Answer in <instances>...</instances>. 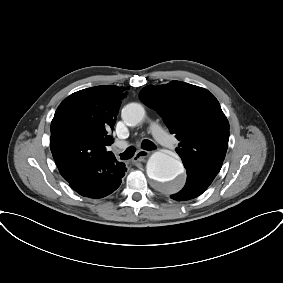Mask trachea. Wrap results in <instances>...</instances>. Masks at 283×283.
Returning <instances> with one entry per match:
<instances>
[{
    "label": "trachea",
    "mask_w": 283,
    "mask_h": 283,
    "mask_svg": "<svg viewBox=\"0 0 283 283\" xmlns=\"http://www.w3.org/2000/svg\"><path fill=\"white\" fill-rule=\"evenodd\" d=\"M141 148L144 150H153L156 148V145L150 140H143L141 144ZM134 153H135V148L129 147L126 149V151L120 154V158L123 160L130 159L134 155Z\"/></svg>",
    "instance_id": "1"
}]
</instances>
